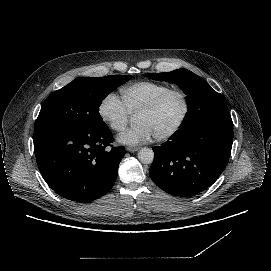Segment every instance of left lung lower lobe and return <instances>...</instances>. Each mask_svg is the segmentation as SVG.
<instances>
[{"instance_id": "obj_1", "label": "left lung lower lobe", "mask_w": 271, "mask_h": 271, "mask_svg": "<svg viewBox=\"0 0 271 271\" xmlns=\"http://www.w3.org/2000/svg\"><path fill=\"white\" fill-rule=\"evenodd\" d=\"M233 125L208 121L178 131L153 147L149 175L169 194L189 197L211 186L225 169L232 148Z\"/></svg>"}]
</instances>
